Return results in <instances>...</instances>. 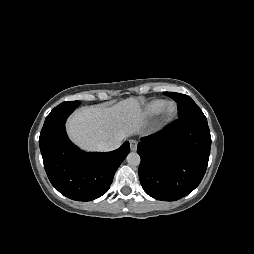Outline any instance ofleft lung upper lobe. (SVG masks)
<instances>
[{
  "mask_svg": "<svg viewBox=\"0 0 254 254\" xmlns=\"http://www.w3.org/2000/svg\"><path fill=\"white\" fill-rule=\"evenodd\" d=\"M164 94L177 102L179 118L197 117L206 119L201 109L189 96L174 92H164Z\"/></svg>",
  "mask_w": 254,
  "mask_h": 254,
  "instance_id": "1",
  "label": "left lung upper lobe"
}]
</instances>
